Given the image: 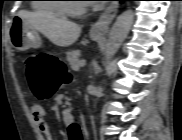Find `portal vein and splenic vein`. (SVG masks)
Listing matches in <instances>:
<instances>
[{"label":"portal vein and splenic vein","instance_id":"obj_1","mask_svg":"<svg viewBox=\"0 0 182 140\" xmlns=\"http://www.w3.org/2000/svg\"><path fill=\"white\" fill-rule=\"evenodd\" d=\"M85 64H86V60H85V59H82V60L80 61V63H79L80 67L85 66Z\"/></svg>","mask_w":182,"mask_h":140}]
</instances>
